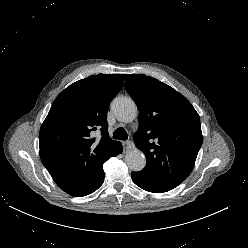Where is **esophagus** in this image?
Masks as SVG:
<instances>
[{
  "instance_id": "obj_1",
  "label": "esophagus",
  "mask_w": 248,
  "mask_h": 248,
  "mask_svg": "<svg viewBox=\"0 0 248 248\" xmlns=\"http://www.w3.org/2000/svg\"><path fill=\"white\" fill-rule=\"evenodd\" d=\"M123 148L125 152H128L134 148V143L132 141H124Z\"/></svg>"
}]
</instances>
